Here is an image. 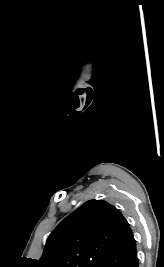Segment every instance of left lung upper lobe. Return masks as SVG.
I'll use <instances>...</instances> for the list:
<instances>
[{"instance_id": "obj_1", "label": "left lung upper lobe", "mask_w": 164, "mask_h": 267, "mask_svg": "<svg viewBox=\"0 0 164 267\" xmlns=\"http://www.w3.org/2000/svg\"><path fill=\"white\" fill-rule=\"evenodd\" d=\"M128 222L114 206L89 200L49 235L38 267H99Z\"/></svg>"}]
</instances>
